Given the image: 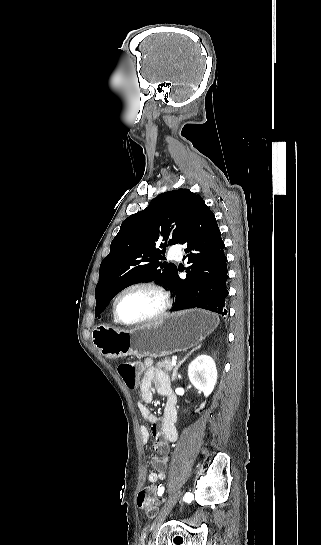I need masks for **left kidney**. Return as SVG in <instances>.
Listing matches in <instances>:
<instances>
[{"label":"left kidney","mask_w":321,"mask_h":545,"mask_svg":"<svg viewBox=\"0 0 321 545\" xmlns=\"http://www.w3.org/2000/svg\"><path fill=\"white\" fill-rule=\"evenodd\" d=\"M188 377L195 389L202 391L205 397L211 395L217 381V369L212 357L199 355L188 367ZM201 405V409H203Z\"/></svg>","instance_id":"1"}]
</instances>
